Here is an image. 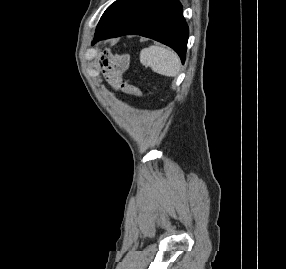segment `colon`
<instances>
[{
    "mask_svg": "<svg viewBox=\"0 0 286 269\" xmlns=\"http://www.w3.org/2000/svg\"><path fill=\"white\" fill-rule=\"evenodd\" d=\"M124 67H125V64H122L121 69H123ZM126 86H127V88H129V91L132 94L139 96V91L137 88L133 87L134 86L133 83H127ZM134 95H129V97H128L129 100H134V98H135Z\"/></svg>",
    "mask_w": 286,
    "mask_h": 269,
    "instance_id": "5ec220e1",
    "label": "colon"
}]
</instances>
